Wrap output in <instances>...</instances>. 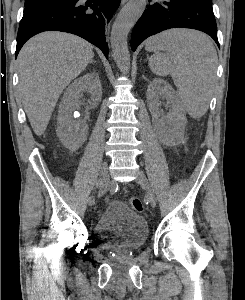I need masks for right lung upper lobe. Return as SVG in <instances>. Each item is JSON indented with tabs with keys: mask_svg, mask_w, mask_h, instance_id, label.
I'll use <instances>...</instances> for the list:
<instances>
[{
	"mask_svg": "<svg viewBox=\"0 0 245 300\" xmlns=\"http://www.w3.org/2000/svg\"><path fill=\"white\" fill-rule=\"evenodd\" d=\"M34 1V0H25V2Z\"/></svg>",
	"mask_w": 245,
	"mask_h": 300,
	"instance_id": "right-lung-upper-lobe-1",
	"label": "right lung upper lobe"
}]
</instances>
